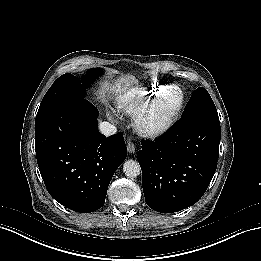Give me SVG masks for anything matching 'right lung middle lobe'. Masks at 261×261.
<instances>
[{"instance_id": "right-lung-middle-lobe-1", "label": "right lung middle lobe", "mask_w": 261, "mask_h": 261, "mask_svg": "<svg viewBox=\"0 0 261 261\" xmlns=\"http://www.w3.org/2000/svg\"><path fill=\"white\" fill-rule=\"evenodd\" d=\"M100 71L89 70L88 74L80 79L70 73L60 76L45 94L38 109L36 120L39 121L45 114L72 97H83L85 88Z\"/></svg>"}]
</instances>
